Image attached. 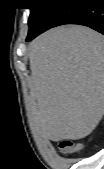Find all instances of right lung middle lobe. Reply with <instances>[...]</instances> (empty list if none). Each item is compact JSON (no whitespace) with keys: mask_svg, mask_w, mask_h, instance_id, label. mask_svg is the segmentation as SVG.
Instances as JSON below:
<instances>
[{"mask_svg":"<svg viewBox=\"0 0 104 169\" xmlns=\"http://www.w3.org/2000/svg\"><path fill=\"white\" fill-rule=\"evenodd\" d=\"M56 7V0H31L29 32L37 30Z\"/></svg>","mask_w":104,"mask_h":169,"instance_id":"1","label":"right lung middle lobe"}]
</instances>
